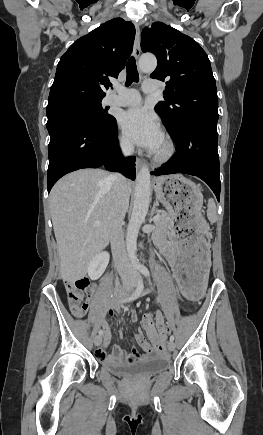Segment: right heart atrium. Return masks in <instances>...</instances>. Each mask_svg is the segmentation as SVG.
Segmentation results:
<instances>
[{
	"label": "right heart atrium",
	"mask_w": 263,
	"mask_h": 435,
	"mask_svg": "<svg viewBox=\"0 0 263 435\" xmlns=\"http://www.w3.org/2000/svg\"><path fill=\"white\" fill-rule=\"evenodd\" d=\"M117 140H118V146L122 151V153L130 154L132 152V144L124 135L119 134Z\"/></svg>",
	"instance_id": "d8ad5b80"
}]
</instances>
